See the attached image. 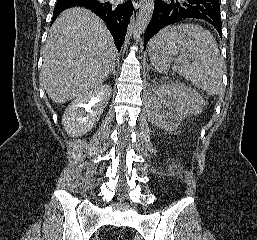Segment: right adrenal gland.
<instances>
[{
  "instance_id": "right-adrenal-gland-1",
  "label": "right adrenal gland",
  "mask_w": 257,
  "mask_h": 240,
  "mask_svg": "<svg viewBox=\"0 0 257 240\" xmlns=\"http://www.w3.org/2000/svg\"><path fill=\"white\" fill-rule=\"evenodd\" d=\"M115 74H116V71H115V69H113L112 72L110 73V75H113L114 78H115ZM110 75H109V76H110Z\"/></svg>"
}]
</instances>
